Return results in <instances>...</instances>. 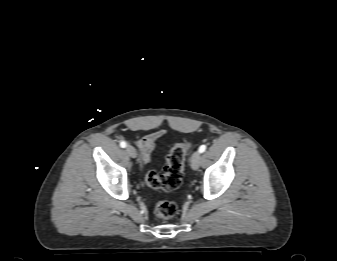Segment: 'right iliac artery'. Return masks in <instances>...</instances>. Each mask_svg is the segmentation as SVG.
<instances>
[{"label": "right iliac artery", "mask_w": 337, "mask_h": 261, "mask_svg": "<svg viewBox=\"0 0 337 261\" xmlns=\"http://www.w3.org/2000/svg\"><path fill=\"white\" fill-rule=\"evenodd\" d=\"M120 146H121L122 148H125V147L127 146V143H126L125 141H121V142H120Z\"/></svg>", "instance_id": "right-iliac-artery-1"}]
</instances>
